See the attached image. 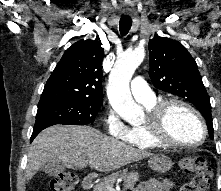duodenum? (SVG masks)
Returning a JSON list of instances; mask_svg holds the SVG:
<instances>
[{"label":"duodenum","instance_id":"duodenum-1","mask_svg":"<svg viewBox=\"0 0 221 191\" xmlns=\"http://www.w3.org/2000/svg\"><path fill=\"white\" fill-rule=\"evenodd\" d=\"M95 182V176L94 175H86L82 182H81V188L83 190H88Z\"/></svg>","mask_w":221,"mask_h":191}]
</instances>
